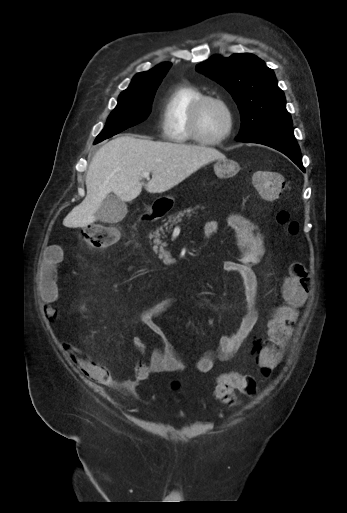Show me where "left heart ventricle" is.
I'll use <instances>...</instances> for the list:
<instances>
[{
  "instance_id": "b2bd125f",
  "label": "left heart ventricle",
  "mask_w": 347,
  "mask_h": 513,
  "mask_svg": "<svg viewBox=\"0 0 347 513\" xmlns=\"http://www.w3.org/2000/svg\"><path fill=\"white\" fill-rule=\"evenodd\" d=\"M228 117L224 108L215 102L204 105L200 118L199 130L205 138H217L227 129Z\"/></svg>"
}]
</instances>
